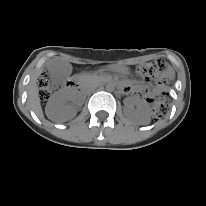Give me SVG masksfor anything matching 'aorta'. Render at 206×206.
I'll use <instances>...</instances> for the list:
<instances>
[{
  "mask_svg": "<svg viewBox=\"0 0 206 206\" xmlns=\"http://www.w3.org/2000/svg\"><path fill=\"white\" fill-rule=\"evenodd\" d=\"M114 89H115L114 83L109 82V83L106 84V90L107 91L112 92V91H114Z\"/></svg>",
  "mask_w": 206,
  "mask_h": 206,
  "instance_id": "762f6f07",
  "label": "aorta"
}]
</instances>
